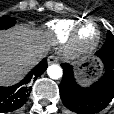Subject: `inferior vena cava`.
<instances>
[{
    "instance_id": "inferior-vena-cava-1",
    "label": "inferior vena cava",
    "mask_w": 114,
    "mask_h": 114,
    "mask_svg": "<svg viewBox=\"0 0 114 114\" xmlns=\"http://www.w3.org/2000/svg\"><path fill=\"white\" fill-rule=\"evenodd\" d=\"M38 56L37 55H32L31 59L35 60Z\"/></svg>"
}]
</instances>
